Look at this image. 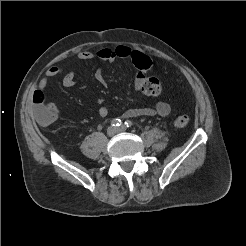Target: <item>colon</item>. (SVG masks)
<instances>
[{"label":"colon","instance_id":"obj_1","mask_svg":"<svg viewBox=\"0 0 246 246\" xmlns=\"http://www.w3.org/2000/svg\"><path fill=\"white\" fill-rule=\"evenodd\" d=\"M131 60L135 67L143 74V72L149 70L151 68L152 62L149 56L139 52L133 51L131 54ZM140 90L150 96H158L163 91V86L161 81L157 77H145L143 76L141 81ZM33 103L36 107V114L43 115L42 110V99L37 95H33ZM190 117L187 113L179 114L175 120L174 125L178 128L185 127L189 123Z\"/></svg>","mask_w":246,"mask_h":246}]
</instances>
